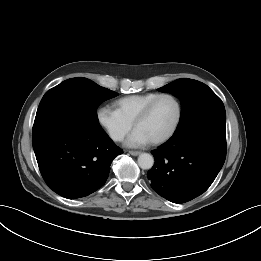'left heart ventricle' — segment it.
<instances>
[{
	"instance_id": "left-heart-ventricle-1",
	"label": "left heart ventricle",
	"mask_w": 261,
	"mask_h": 261,
	"mask_svg": "<svg viewBox=\"0 0 261 261\" xmlns=\"http://www.w3.org/2000/svg\"><path fill=\"white\" fill-rule=\"evenodd\" d=\"M177 114L173 100L160 99L146 119L140 122L135 129L142 131L151 141L165 135L172 127Z\"/></svg>"
}]
</instances>
